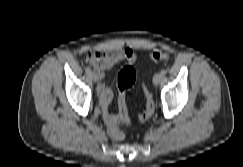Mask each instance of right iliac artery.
Returning <instances> with one entry per match:
<instances>
[{
    "label": "right iliac artery",
    "mask_w": 243,
    "mask_h": 167,
    "mask_svg": "<svg viewBox=\"0 0 243 167\" xmlns=\"http://www.w3.org/2000/svg\"><path fill=\"white\" fill-rule=\"evenodd\" d=\"M85 71H86L87 73H89V74L91 73V69H90L89 67H86V68H85Z\"/></svg>",
    "instance_id": "obj_1"
}]
</instances>
